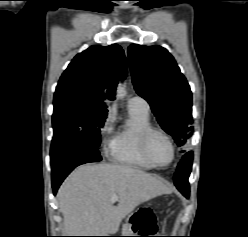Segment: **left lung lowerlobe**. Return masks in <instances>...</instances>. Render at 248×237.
<instances>
[{
  "mask_svg": "<svg viewBox=\"0 0 248 237\" xmlns=\"http://www.w3.org/2000/svg\"><path fill=\"white\" fill-rule=\"evenodd\" d=\"M192 160H193V153L192 152H189V153L185 154L183 156L182 160L180 161L179 165H178V169H177L175 175L185 174V173L190 174L191 166H192ZM174 184L176 185L178 190L186 198H189V183H188V179L186 181L185 180L179 181L174 176Z\"/></svg>",
  "mask_w": 248,
  "mask_h": 237,
  "instance_id": "left-lung-lower-lobe-1",
  "label": "left lung lower lobe"
}]
</instances>
